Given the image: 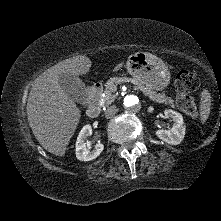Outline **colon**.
<instances>
[{
	"instance_id": "colon-1",
	"label": "colon",
	"mask_w": 221,
	"mask_h": 221,
	"mask_svg": "<svg viewBox=\"0 0 221 221\" xmlns=\"http://www.w3.org/2000/svg\"><path fill=\"white\" fill-rule=\"evenodd\" d=\"M199 85L200 81L195 73L188 70H180L176 73V104L179 109L192 118L198 117V110L194 102L193 92L198 89Z\"/></svg>"
}]
</instances>
